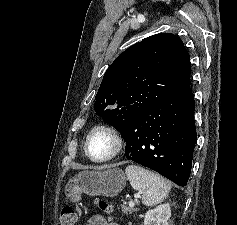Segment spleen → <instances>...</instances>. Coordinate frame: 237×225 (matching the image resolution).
I'll use <instances>...</instances> for the list:
<instances>
[{
    "label": "spleen",
    "mask_w": 237,
    "mask_h": 225,
    "mask_svg": "<svg viewBox=\"0 0 237 225\" xmlns=\"http://www.w3.org/2000/svg\"><path fill=\"white\" fill-rule=\"evenodd\" d=\"M125 173L131 186L142 193V203L145 206L163 202L171 190L168 180L141 166L131 164L126 167Z\"/></svg>",
    "instance_id": "obj_1"
}]
</instances>
